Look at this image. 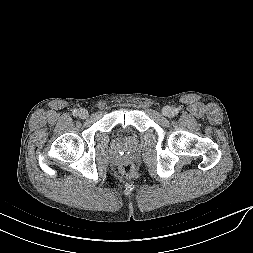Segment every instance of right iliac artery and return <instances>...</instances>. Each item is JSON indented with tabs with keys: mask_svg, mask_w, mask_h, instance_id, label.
<instances>
[{
	"mask_svg": "<svg viewBox=\"0 0 253 253\" xmlns=\"http://www.w3.org/2000/svg\"><path fill=\"white\" fill-rule=\"evenodd\" d=\"M78 113H79V111H78L77 109H74V110H73V115H74V116H77Z\"/></svg>",
	"mask_w": 253,
	"mask_h": 253,
	"instance_id": "right-iliac-artery-1",
	"label": "right iliac artery"
}]
</instances>
